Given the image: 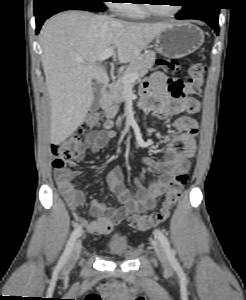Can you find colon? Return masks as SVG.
Masks as SVG:
<instances>
[{
  "mask_svg": "<svg viewBox=\"0 0 246 300\" xmlns=\"http://www.w3.org/2000/svg\"><path fill=\"white\" fill-rule=\"evenodd\" d=\"M160 63L167 71H178L182 68L181 63L174 58L162 59ZM204 71L205 67L200 62H194L189 66L188 78L184 84L186 93H200L204 84ZM198 109V106H194L192 112L196 113ZM100 123L101 117L99 113L92 112L85 119L81 132L91 131L97 128ZM82 152V135H72L61 142L51 145V153L53 156L52 165L55 169H64L69 163L81 155ZM187 180L188 175L185 171L177 173L169 184L162 209L151 214H130L127 217L128 224L134 229L145 231L165 221L170 209L178 202Z\"/></svg>",
  "mask_w": 246,
  "mask_h": 300,
  "instance_id": "5ec220e1",
  "label": "colon"
}]
</instances>
